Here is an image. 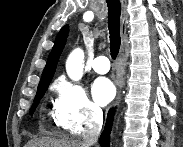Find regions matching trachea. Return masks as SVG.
Returning a JSON list of instances; mask_svg holds the SVG:
<instances>
[{"mask_svg":"<svg viewBox=\"0 0 183 147\" xmlns=\"http://www.w3.org/2000/svg\"><path fill=\"white\" fill-rule=\"evenodd\" d=\"M108 6V28L110 34V53L112 59H116L119 53L120 38V14L121 4L119 0H107Z\"/></svg>","mask_w":183,"mask_h":147,"instance_id":"trachea-1","label":"trachea"}]
</instances>
